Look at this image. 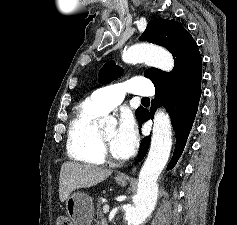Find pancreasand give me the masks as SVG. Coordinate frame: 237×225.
<instances>
[{"instance_id":"cf45deb5","label":"pancreas","mask_w":237,"mask_h":225,"mask_svg":"<svg viewBox=\"0 0 237 225\" xmlns=\"http://www.w3.org/2000/svg\"><path fill=\"white\" fill-rule=\"evenodd\" d=\"M96 216H97L96 225H99V224H101L102 221H104L103 211H102V202H101L100 198L97 200Z\"/></svg>"}]
</instances>
